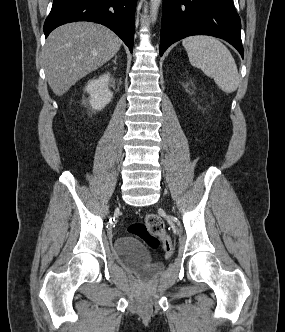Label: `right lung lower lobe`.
<instances>
[{"mask_svg":"<svg viewBox=\"0 0 285 332\" xmlns=\"http://www.w3.org/2000/svg\"><path fill=\"white\" fill-rule=\"evenodd\" d=\"M137 0H54L44 23L47 37L56 27L75 21H92L114 31L132 52Z\"/></svg>","mask_w":285,"mask_h":332,"instance_id":"right-lung-lower-lobe-1","label":"right lung lower lobe"}]
</instances>
